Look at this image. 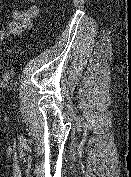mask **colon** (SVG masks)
Wrapping results in <instances>:
<instances>
[{
  "instance_id": "1",
  "label": "colon",
  "mask_w": 131,
  "mask_h": 177,
  "mask_svg": "<svg viewBox=\"0 0 131 177\" xmlns=\"http://www.w3.org/2000/svg\"><path fill=\"white\" fill-rule=\"evenodd\" d=\"M3 68H4V64H2V63L0 62V71H2Z\"/></svg>"
}]
</instances>
